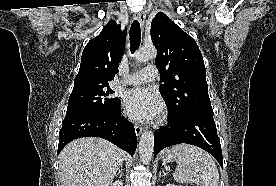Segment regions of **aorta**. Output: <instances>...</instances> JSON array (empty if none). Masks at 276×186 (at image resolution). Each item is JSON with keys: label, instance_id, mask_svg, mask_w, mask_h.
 Listing matches in <instances>:
<instances>
[{"label": "aorta", "instance_id": "1", "mask_svg": "<svg viewBox=\"0 0 276 186\" xmlns=\"http://www.w3.org/2000/svg\"><path fill=\"white\" fill-rule=\"evenodd\" d=\"M157 57L155 47H143L135 54L138 63L154 60ZM139 155L141 162L148 164L151 161L154 151V134L151 130H145L139 142Z\"/></svg>", "mask_w": 276, "mask_h": 186}]
</instances>
